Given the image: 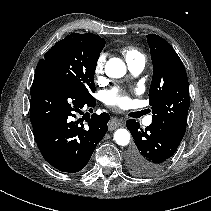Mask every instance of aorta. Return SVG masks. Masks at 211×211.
<instances>
[{
	"label": "aorta",
	"mask_w": 211,
	"mask_h": 211,
	"mask_svg": "<svg viewBox=\"0 0 211 211\" xmlns=\"http://www.w3.org/2000/svg\"><path fill=\"white\" fill-rule=\"evenodd\" d=\"M105 73L111 78H121L126 74V65L119 58H111L106 62ZM114 140L118 145L125 146L130 141V133L124 128L117 129L114 133Z\"/></svg>",
	"instance_id": "aorta-1"
}]
</instances>
